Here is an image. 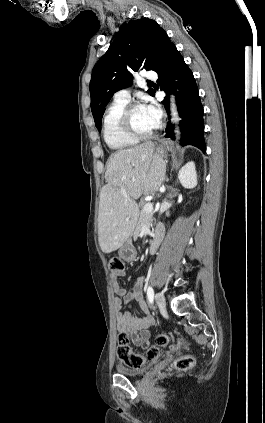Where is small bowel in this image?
<instances>
[{
  "label": "small bowel",
  "instance_id": "c3829d8e",
  "mask_svg": "<svg viewBox=\"0 0 265 423\" xmlns=\"http://www.w3.org/2000/svg\"><path fill=\"white\" fill-rule=\"evenodd\" d=\"M125 275V270L110 275L111 290L115 297L112 299V307L115 313L117 329L126 332L135 346L146 347L150 337V327L154 318L150 314L143 296L144 280L138 279L131 292L126 291L118 283V278ZM136 301L142 316L134 317L130 312H123L124 305Z\"/></svg>",
  "mask_w": 265,
  "mask_h": 423
}]
</instances>
